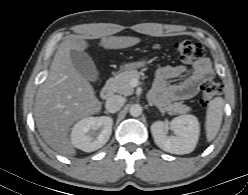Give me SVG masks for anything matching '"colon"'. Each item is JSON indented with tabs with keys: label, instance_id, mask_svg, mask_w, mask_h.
I'll return each mask as SVG.
<instances>
[{
	"label": "colon",
	"instance_id": "colon-1",
	"mask_svg": "<svg viewBox=\"0 0 248 195\" xmlns=\"http://www.w3.org/2000/svg\"><path fill=\"white\" fill-rule=\"evenodd\" d=\"M173 48L182 63L190 64L205 55L202 44L189 40H178L173 44ZM222 90L219 83L206 81L201 87L200 104L206 106Z\"/></svg>",
	"mask_w": 248,
	"mask_h": 195
}]
</instances>
